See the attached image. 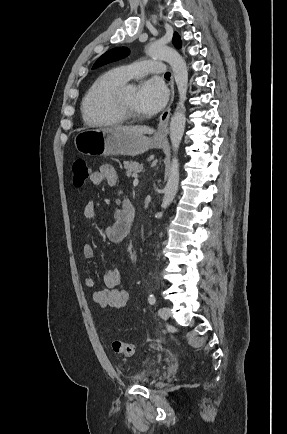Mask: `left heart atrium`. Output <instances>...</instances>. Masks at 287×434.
<instances>
[{
  "mask_svg": "<svg viewBox=\"0 0 287 434\" xmlns=\"http://www.w3.org/2000/svg\"><path fill=\"white\" fill-rule=\"evenodd\" d=\"M168 99L166 86L158 79H151L140 84L136 91V102L142 113L158 112Z\"/></svg>",
  "mask_w": 287,
  "mask_h": 434,
  "instance_id": "left-heart-atrium-1",
  "label": "left heart atrium"
}]
</instances>
